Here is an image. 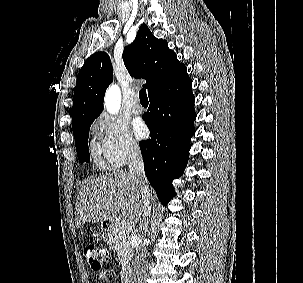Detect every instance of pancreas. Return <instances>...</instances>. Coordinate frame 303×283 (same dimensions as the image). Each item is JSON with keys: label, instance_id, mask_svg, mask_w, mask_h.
Here are the masks:
<instances>
[{"label": "pancreas", "instance_id": "obj_1", "mask_svg": "<svg viewBox=\"0 0 303 283\" xmlns=\"http://www.w3.org/2000/svg\"><path fill=\"white\" fill-rule=\"evenodd\" d=\"M132 232L129 226L116 223L108 233L109 240L117 250L119 265L125 267L133 256V246L131 245Z\"/></svg>", "mask_w": 303, "mask_h": 283}]
</instances>
